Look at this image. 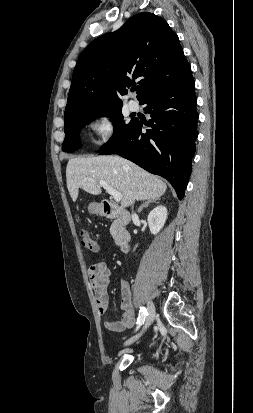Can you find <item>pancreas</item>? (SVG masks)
<instances>
[{
  "label": "pancreas",
  "instance_id": "pancreas-1",
  "mask_svg": "<svg viewBox=\"0 0 253 413\" xmlns=\"http://www.w3.org/2000/svg\"><path fill=\"white\" fill-rule=\"evenodd\" d=\"M116 232H117V221H114L111 225L110 233L113 237H115Z\"/></svg>",
  "mask_w": 253,
  "mask_h": 413
}]
</instances>
